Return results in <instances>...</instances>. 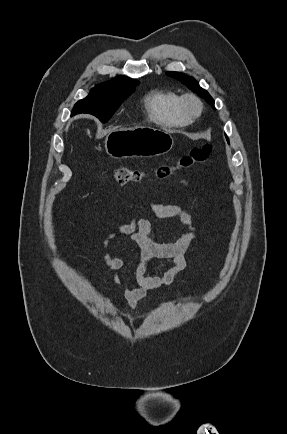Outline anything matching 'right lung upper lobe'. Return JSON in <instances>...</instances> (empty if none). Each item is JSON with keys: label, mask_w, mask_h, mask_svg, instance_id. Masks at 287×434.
<instances>
[{"label": "right lung upper lobe", "mask_w": 287, "mask_h": 434, "mask_svg": "<svg viewBox=\"0 0 287 434\" xmlns=\"http://www.w3.org/2000/svg\"><path fill=\"white\" fill-rule=\"evenodd\" d=\"M135 82H137V81L131 80L125 76H119V77H117L111 81L106 82V83L122 85V84H129V83H135Z\"/></svg>", "instance_id": "cb5924a9"}]
</instances>
